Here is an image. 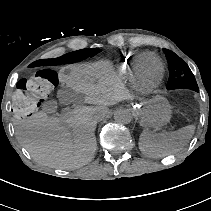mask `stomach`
Segmentation results:
<instances>
[{
    "label": "stomach",
    "mask_w": 211,
    "mask_h": 211,
    "mask_svg": "<svg viewBox=\"0 0 211 211\" xmlns=\"http://www.w3.org/2000/svg\"><path fill=\"white\" fill-rule=\"evenodd\" d=\"M143 127L160 128L166 125L171 118V106L167 99L157 96L150 102L136 109Z\"/></svg>",
    "instance_id": "obj_1"
}]
</instances>
